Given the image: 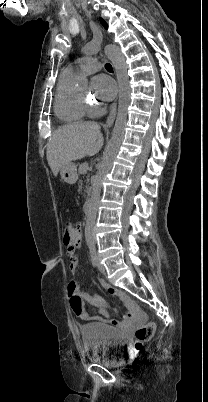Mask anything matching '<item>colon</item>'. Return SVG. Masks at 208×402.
Masks as SVG:
<instances>
[{"label":"colon","instance_id":"5ec220e1","mask_svg":"<svg viewBox=\"0 0 208 402\" xmlns=\"http://www.w3.org/2000/svg\"><path fill=\"white\" fill-rule=\"evenodd\" d=\"M76 222L74 221H65L62 226V237H63V244L64 245H69L75 242V237H76ZM71 302V307L72 310L77 314V315H82L84 314L83 312V307H84V302L79 296H73L70 299ZM155 330V327L153 324H142L141 327L136 331V338L141 340V341H146L149 340ZM139 346L137 345L136 349H138Z\"/></svg>","mask_w":208,"mask_h":402}]
</instances>
